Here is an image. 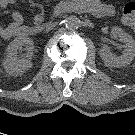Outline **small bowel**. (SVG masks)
I'll return each mask as SVG.
<instances>
[{
    "mask_svg": "<svg viewBox=\"0 0 135 135\" xmlns=\"http://www.w3.org/2000/svg\"><path fill=\"white\" fill-rule=\"evenodd\" d=\"M17 0H0V7L5 8L14 4ZM87 9L96 17H109L114 14L113 6L104 0H85ZM23 16L20 12L12 14V21L9 25L0 26V36L11 38L16 35H24Z\"/></svg>",
    "mask_w": 135,
    "mask_h": 135,
    "instance_id": "c3829d8e",
    "label": "small bowel"
}]
</instances>
